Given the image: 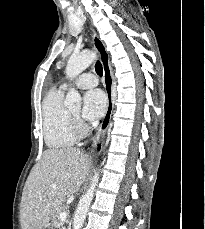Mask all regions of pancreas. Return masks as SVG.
Masks as SVG:
<instances>
[{"label": "pancreas", "instance_id": "cf45deb5", "mask_svg": "<svg viewBox=\"0 0 205 229\" xmlns=\"http://www.w3.org/2000/svg\"><path fill=\"white\" fill-rule=\"evenodd\" d=\"M66 206H60L53 215V226L54 229H61L63 222L60 220V213L66 211Z\"/></svg>", "mask_w": 205, "mask_h": 229}]
</instances>
